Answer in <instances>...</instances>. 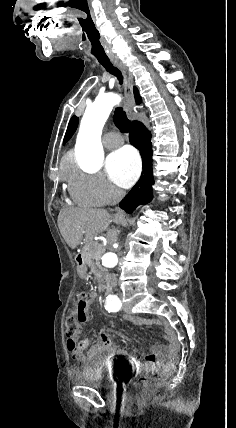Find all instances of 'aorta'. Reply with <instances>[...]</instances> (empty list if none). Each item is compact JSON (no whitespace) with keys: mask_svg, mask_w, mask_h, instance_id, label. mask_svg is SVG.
Listing matches in <instances>:
<instances>
[{"mask_svg":"<svg viewBox=\"0 0 236 428\" xmlns=\"http://www.w3.org/2000/svg\"><path fill=\"white\" fill-rule=\"evenodd\" d=\"M121 101L115 93L99 95L95 101L87 106L80 123L76 140V156L80 164L88 170L100 167L104 158L101 135L104 124L113 107ZM118 256L110 251L103 255L102 264L107 268L115 267Z\"/></svg>","mask_w":236,"mask_h":428,"instance_id":"obj_1","label":"aorta"}]
</instances>
